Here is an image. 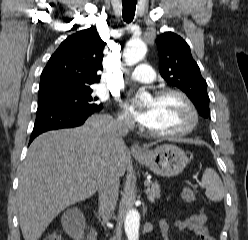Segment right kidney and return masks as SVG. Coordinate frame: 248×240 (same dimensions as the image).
Segmentation results:
<instances>
[{
  "instance_id": "right-kidney-1",
  "label": "right kidney",
  "mask_w": 248,
  "mask_h": 240,
  "mask_svg": "<svg viewBox=\"0 0 248 240\" xmlns=\"http://www.w3.org/2000/svg\"><path fill=\"white\" fill-rule=\"evenodd\" d=\"M69 236L72 237L74 240H81L83 239V231H70Z\"/></svg>"
}]
</instances>
